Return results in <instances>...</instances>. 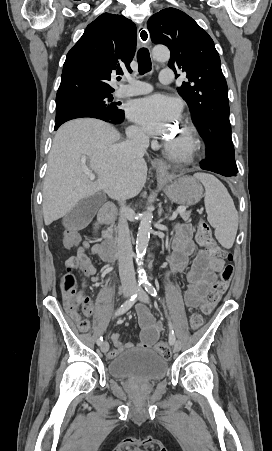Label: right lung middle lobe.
Segmentation results:
<instances>
[{
  "label": "right lung middle lobe",
  "instance_id": "right-lung-middle-lobe-1",
  "mask_svg": "<svg viewBox=\"0 0 272 451\" xmlns=\"http://www.w3.org/2000/svg\"><path fill=\"white\" fill-rule=\"evenodd\" d=\"M111 94L86 95L56 99V121L78 113H90L112 120H120L124 116V110L112 102Z\"/></svg>",
  "mask_w": 272,
  "mask_h": 451
}]
</instances>
